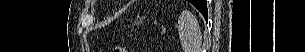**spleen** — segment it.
I'll use <instances>...</instances> for the list:
<instances>
[{
	"label": "spleen",
	"instance_id": "obj_1",
	"mask_svg": "<svg viewBox=\"0 0 305 52\" xmlns=\"http://www.w3.org/2000/svg\"><path fill=\"white\" fill-rule=\"evenodd\" d=\"M178 32L185 52H199L202 33L194 15L187 11L181 13L178 18Z\"/></svg>",
	"mask_w": 305,
	"mask_h": 52
}]
</instances>
